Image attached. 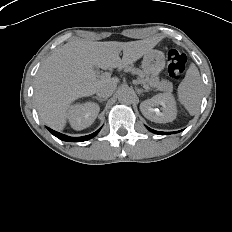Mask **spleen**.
I'll list each match as a JSON object with an SVG mask.
<instances>
[{
  "label": "spleen",
  "mask_w": 232,
  "mask_h": 232,
  "mask_svg": "<svg viewBox=\"0 0 232 232\" xmlns=\"http://www.w3.org/2000/svg\"><path fill=\"white\" fill-rule=\"evenodd\" d=\"M203 82L198 68L191 64L185 78L178 86V101L184 105L191 115L200 109Z\"/></svg>",
  "instance_id": "3e777b00"
}]
</instances>
